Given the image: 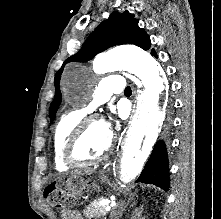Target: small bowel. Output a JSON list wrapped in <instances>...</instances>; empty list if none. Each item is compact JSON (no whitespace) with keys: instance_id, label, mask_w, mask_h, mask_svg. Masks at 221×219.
Returning a JSON list of instances; mask_svg holds the SVG:
<instances>
[{"instance_id":"c3829d8e","label":"small bowel","mask_w":221,"mask_h":219,"mask_svg":"<svg viewBox=\"0 0 221 219\" xmlns=\"http://www.w3.org/2000/svg\"><path fill=\"white\" fill-rule=\"evenodd\" d=\"M63 219H83L77 211H71L64 214Z\"/></svg>"}]
</instances>
